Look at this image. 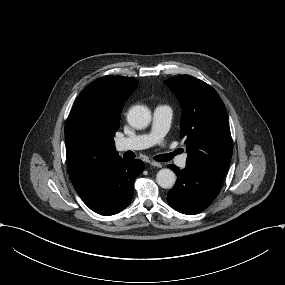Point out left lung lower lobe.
Returning <instances> with one entry per match:
<instances>
[{
	"label": "left lung lower lobe",
	"instance_id": "0a47b994",
	"mask_svg": "<svg viewBox=\"0 0 285 285\" xmlns=\"http://www.w3.org/2000/svg\"><path fill=\"white\" fill-rule=\"evenodd\" d=\"M177 174L174 187L168 192V204L176 211L193 215L205 210L221 190L222 180L207 175L188 165L182 170L170 164Z\"/></svg>",
	"mask_w": 285,
	"mask_h": 285
}]
</instances>
